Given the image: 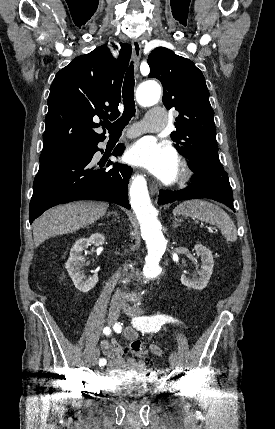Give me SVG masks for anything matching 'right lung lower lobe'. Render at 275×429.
<instances>
[{
	"mask_svg": "<svg viewBox=\"0 0 275 429\" xmlns=\"http://www.w3.org/2000/svg\"><path fill=\"white\" fill-rule=\"evenodd\" d=\"M97 143L87 151L42 162L34 179L33 195L29 205L30 223L47 209L75 200H100L130 209L128 181L132 169L115 164L110 170L102 168L105 162L94 166L92 158L99 150ZM122 144L113 151L120 156ZM109 161L106 166L111 165Z\"/></svg>",
	"mask_w": 275,
	"mask_h": 429,
	"instance_id": "obj_1",
	"label": "right lung lower lobe"
}]
</instances>
